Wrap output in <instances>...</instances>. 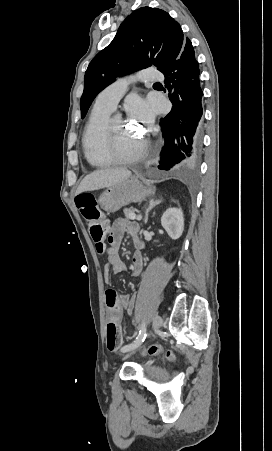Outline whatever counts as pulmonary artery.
<instances>
[{"mask_svg":"<svg viewBox=\"0 0 272 451\" xmlns=\"http://www.w3.org/2000/svg\"><path fill=\"white\" fill-rule=\"evenodd\" d=\"M163 75L161 70L156 69L154 65L147 66L144 70L137 72V77L141 79L145 85H151L159 81ZM136 80L134 77L119 78L111 84L107 89L102 91L96 98V104L103 107L114 109L115 105L123 98L129 84Z\"/></svg>","mask_w":272,"mask_h":451,"instance_id":"pulmonary-artery-1","label":"pulmonary artery"}]
</instances>
